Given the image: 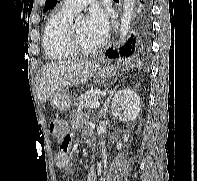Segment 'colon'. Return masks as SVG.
<instances>
[{"label": "colon", "instance_id": "obj_1", "mask_svg": "<svg viewBox=\"0 0 197 181\" xmlns=\"http://www.w3.org/2000/svg\"><path fill=\"white\" fill-rule=\"evenodd\" d=\"M61 130H62V124L58 121H52L49 124V131L52 135L60 137L61 135ZM61 150H67L68 149V142L66 139H62Z\"/></svg>", "mask_w": 197, "mask_h": 181}]
</instances>
